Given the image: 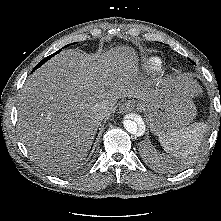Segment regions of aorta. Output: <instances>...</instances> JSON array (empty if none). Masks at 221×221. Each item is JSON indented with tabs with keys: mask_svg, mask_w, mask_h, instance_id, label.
Masks as SVG:
<instances>
[{
	"mask_svg": "<svg viewBox=\"0 0 221 221\" xmlns=\"http://www.w3.org/2000/svg\"><path fill=\"white\" fill-rule=\"evenodd\" d=\"M125 130L132 135H142L145 131L144 122L139 116H133V118L127 117L123 121Z\"/></svg>",
	"mask_w": 221,
	"mask_h": 221,
	"instance_id": "aorta-1",
	"label": "aorta"
}]
</instances>
